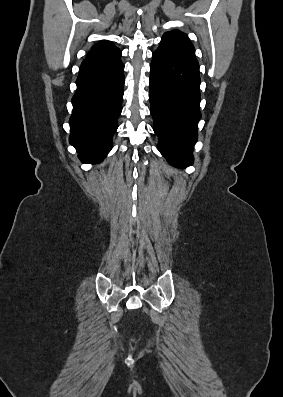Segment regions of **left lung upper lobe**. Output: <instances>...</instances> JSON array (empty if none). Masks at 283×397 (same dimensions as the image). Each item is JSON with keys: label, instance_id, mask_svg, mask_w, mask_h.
Segmentation results:
<instances>
[{"label": "left lung upper lobe", "instance_id": "obj_1", "mask_svg": "<svg viewBox=\"0 0 283 397\" xmlns=\"http://www.w3.org/2000/svg\"><path fill=\"white\" fill-rule=\"evenodd\" d=\"M161 44L172 48L189 61L199 65L195 57V49L186 34L180 31L166 32L161 38Z\"/></svg>", "mask_w": 283, "mask_h": 397}]
</instances>
